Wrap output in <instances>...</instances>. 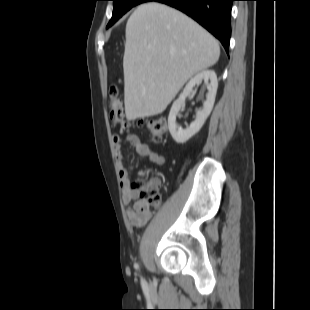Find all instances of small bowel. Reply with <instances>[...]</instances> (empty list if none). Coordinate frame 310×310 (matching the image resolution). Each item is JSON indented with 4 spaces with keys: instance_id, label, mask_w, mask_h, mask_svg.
<instances>
[{
    "instance_id": "small-bowel-1",
    "label": "small bowel",
    "mask_w": 310,
    "mask_h": 310,
    "mask_svg": "<svg viewBox=\"0 0 310 310\" xmlns=\"http://www.w3.org/2000/svg\"><path fill=\"white\" fill-rule=\"evenodd\" d=\"M128 141L137 154L151 162L162 165L164 164V157L154 152L149 145L143 143L136 135L129 134L125 138L119 135L113 136V147L116 161L119 167L120 186L123 191L122 201L126 207V215L130 223L135 227H143L152 217L153 211L146 206L144 201L139 199V194L131 187V176L125 168V162L122 154V142Z\"/></svg>"
}]
</instances>
